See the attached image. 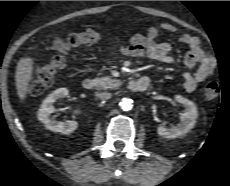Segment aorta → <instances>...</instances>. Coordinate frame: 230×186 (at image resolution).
Segmentation results:
<instances>
[{"label":"aorta","mask_w":230,"mask_h":186,"mask_svg":"<svg viewBox=\"0 0 230 186\" xmlns=\"http://www.w3.org/2000/svg\"><path fill=\"white\" fill-rule=\"evenodd\" d=\"M119 106L123 111H129L133 107V101L129 98H123L119 103Z\"/></svg>","instance_id":"762f6f07"}]
</instances>
